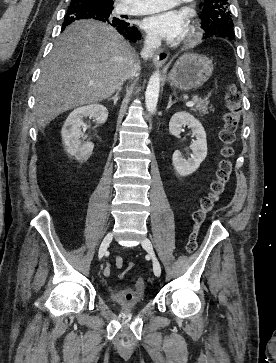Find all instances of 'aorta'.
Instances as JSON below:
<instances>
[{"label": "aorta", "mask_w": 276, "mask_h": 363, "mask_svg": "<svg viewBox=\"0 0 276 363\" xmlns=\"http://www.w3.org/2000/svg\"><path fill=\"white\" fill-rule=\"evenodd\" d=\"M159 91H160V74L158 71H156L150 77L145 93L146 109L150 113H153L157 107Z\"/></svg>", "instance_id": "obj_1"}]
</instances>
